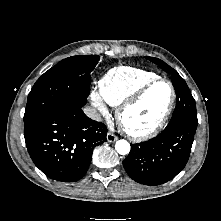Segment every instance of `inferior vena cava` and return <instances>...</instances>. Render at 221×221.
I'll return each instance as SVG.
<instances>
[{
    "label": "inferior vena cava",
    "mask_w": 221,
    "mask_h": 221,
    "mask_svg": "<svg viewBox=\"0 0 221 221\" xmlns=\"http://www.w3.org/2000/svg\"><path fill=\"white\" fill-rule=\"evenodd\" d=\"M84 111L90 118L98 121L101 120L100 114L94 108L86 107Z\"/></svg>",
    "instance_id": "obj_1"
}]
</instances>
